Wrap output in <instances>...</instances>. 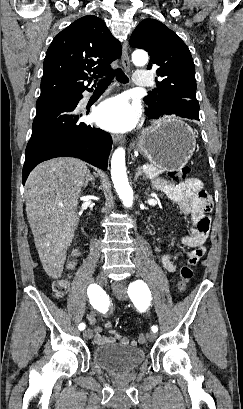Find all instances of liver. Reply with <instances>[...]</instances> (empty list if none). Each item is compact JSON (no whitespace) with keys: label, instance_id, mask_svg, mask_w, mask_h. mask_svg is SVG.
<instances>
[{"label":"liver","instance_id":"obj_1","mask_svg":"<svg viewBox=\"0 0 243 409\" xmlns=\"http://www.w3.org/2000/svg\"><path fill=\"white\" fill-rule=\"evenodd\" d=\"M89 175L83 161L60 157L39 164L26 181L27 219L43 268L54 279L63 272L79 222L78 199Z\"/></svg>","mask_w":243,"mask_h":409}]
</instances>
